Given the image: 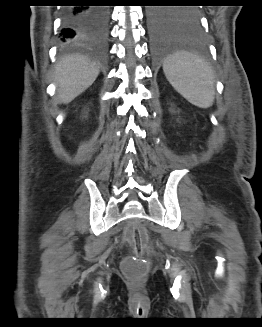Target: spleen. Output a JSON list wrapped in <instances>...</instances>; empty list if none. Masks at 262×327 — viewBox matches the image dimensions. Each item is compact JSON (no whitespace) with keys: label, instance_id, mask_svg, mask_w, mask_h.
<instances>
[{"label":"spleen","instance_id":"obj_1","mask_svg":"<svg viewBox=\"0 0 262 327\" xmlns=\"http://www.w3.org/2000/svg\"><path fill=\"white\" fill-rule=\"evenodd\" d=\"M163 71L170 84L195 106L208 108L214 101V75L201 58L179 52L164 62Z\"/></svg>","mask_w":262,"mask_h":327}]
</instances>
